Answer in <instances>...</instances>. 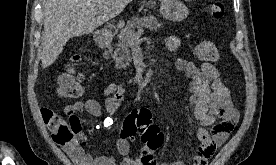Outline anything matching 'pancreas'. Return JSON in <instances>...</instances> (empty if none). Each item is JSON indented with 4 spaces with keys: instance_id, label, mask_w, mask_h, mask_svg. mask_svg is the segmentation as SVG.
<instances>
[{
    "instance_id": "1",
    "label": "pancreas",
    "mask_w": 276,
    "mask_h": 165,
    "mask_svg": "<svg viewBox=\"0 0 276 165\" xmlns=\"http://www.w3.org/2000/svg\"><path fill=\"white\" fill-rule=\"evenodd\" d=\"M161 25L162 23L154 16L133 17L117 35L118 43L116 44L115 51L109 50L105 55L111 54L115 62V68L126 69L131 62L129 48L133 42L132 36L135 34V29L148 28L150 31H157Z\"/></svg>"
}]
</instances>
